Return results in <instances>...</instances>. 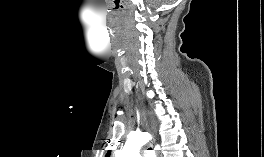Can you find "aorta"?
Masks as SVG:
<instances>
[{
	"instance_id": "aorta-1",
	"label": "aorta",
	"mask_w": 264,
	"mask_h": 157,
	"mask_svg": "<svg viewBox=\"0 0 264 157\" xmlns=\"http://www.w3.org/2000/svg\"><path fill=\"white\" fill-rule=\"evenodd\" d=\"M150 140L145 133L135 134L127 140L122 150L116 152V157H139L140 149Z\"/></svg>"
}]
</instances>
